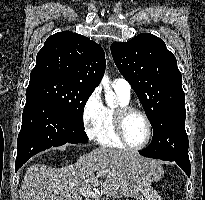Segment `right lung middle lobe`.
Returning a JSON list of instances; mask_svg holds the SVG:
<instances>
[{"instance_id":"dd1d6c3e","label":"right lung middle lobe","mask_w":205,"mask_h":200,"mask_svg":"<svg viewBox=\"0 0 205 200\" xmlns=\"http://www.w3.org/2000/svg\"><path fill=\"white\" fill-rule=\"evenodd\" d=\"M93 91V88L71 80L57 76H43L30 79L26 98L47 101L84 127L83 110Z\"/></svg>"}]
</instances>
